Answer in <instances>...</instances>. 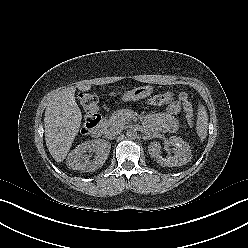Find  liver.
Here are the masks:
<instances>
[{
  "label": "liver",
  "mask_w": 248,
  "mask_h": 248,
  "mask_svg": "<svg viewBox=\"0 0 248 248\" xmlns=\"http://www.w3.org/2000/svg\"><path fill=\"white\" fill-rule=\"evenodd\" d=\"M86 91L90 86L80 85ZM75 87L61 90L45 110L44 128L47 148L56 162H62L81 127L82 113L76 103Z\"/></svg>",
  "instance_id": "liver-1"
}]
</instances>
